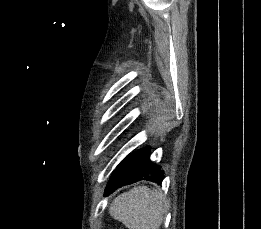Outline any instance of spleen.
Returning a JSON list of instances; mask_svg holds the SVG:
<instances>
[{
	"instance_id": "obj_1",
	"label": "spleen",
	"mask_w": 261,
	"mask_h": 229,
	"mask_svg": "<svg viewBox=\"0 0 261 229\" xmlns=\"http://www.w3.org/2000/svg\"><path fill=\"white\" fill-rule=\"evenodd\" d=\"M168 207L164 195L148 187H133L110 205V217L121 221L127 229H159Z\"/></svg>"
}]
</instances>
